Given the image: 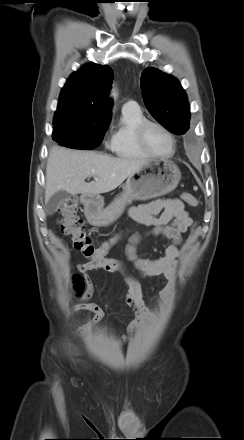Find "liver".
I'll use <instances>...</instances> for the list:
<instances>
[{
    "label": "liver",
    "mask_w": 244,
    "mask_h": 440,
    "mask_svg": "<svg viewBox=\"0 0 244 440\" xmlns=\"http://www.w3.org/2000/svg\"><path fill=\"white\" fill-rule=\"evenodd\" d=\"M145 159L115 158L94 151L53 147L46 165L45 203L58 191L94 196L116 189ZM98 181L86 183L87 177Z\"/></svg>",
    "instance_id": "6515ba94"
}]
</instances>
